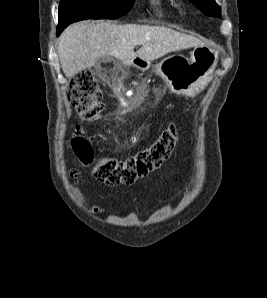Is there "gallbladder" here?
Wrapping results in <instances>:
<instances>
[{
  "label": "gallbladder",
  "mask_w": 267,
  "mask_h": 298,
  "mask_svg": "<svg viewBox=\"0 0 267 298\" xmlns=\"http://www.w3.org/2000/svg\"><path fill=\"white\" fill-rule=\"evenodd\" d=\"M107 60H111V58H110V57H107V58H100V59L97 60V63L99 64L100 62H102V61H107Z\"/></svg>",
  "instance_id": "obj_1"
}]
</instances>
